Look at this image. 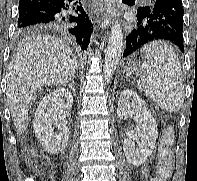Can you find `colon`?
<instances>
[{
    "instance_id": "colon-1",
    "label": "colon",
    "mask_w": 197,
    "mask_h": 181,
    "mask_svg": "<svg viewBox=\"0 0 197 181\" xmlns=\"http://www.w3.org/2000/svg\"><path fill=\"white\" fill-rule=\"evenodd\" d=\"M174 140V131L171 127L164 130L162 143L159 147L158 155L160 162L157 167V176L154 181H167L172 174L173 156L171 145ZM35 162L31 165L34 166Z\"/></svg>"
}]
</instances>
